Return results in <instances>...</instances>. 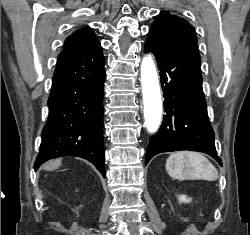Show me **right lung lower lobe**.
<instances>
[{"mask_svg":"<svg viewBox=\"0 0 250 235\" xmlns=\"http://www.w3.org/2000/svg\"><path fill=\"white\" fill-rule=\"evenodd\" d=\"M104 64L99 42L58 57L35 170L50 159L76 156L93 163L105 177Z\"/></svg>","mask_w":250,"mask_h":235,"instance_id":"right-lung-lower-lobe-1","label":"right lung lower lobe"}]
</instances>
